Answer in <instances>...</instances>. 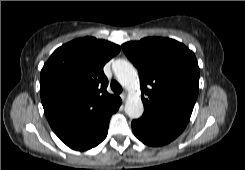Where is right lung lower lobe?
<instances>
[{"label": "right lung lower lobe", "instance_id": "1", "mask_svg": "<svg viewBox=\"0 0 245 170\" xmlns=\"http://www.w3.org/2000/svg\"><path fill=\"white\" fill-rule=\"evenodd\" d=\"M120 104L121 101L113 108V110L108 114L104 121L88 137L73 145L71 148L83 151L91 149L101 143L107 136L110 117L114 112L118 110Z\"/></svg>", "mask_w": 245, "mask_h": 170}]
</instances>
